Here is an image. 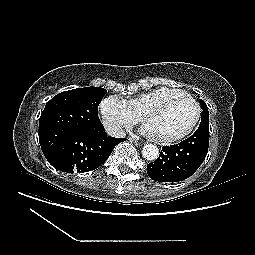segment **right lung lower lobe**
Wrapping results in <instances>:
<instances>
[{"mask_svg": "<svg viewBox=\"0 0 255 255\" xmlns=\"http://www.w3.org/2000/svg\"><path fill=\"white\" fill-rule=\"evenodd\" d=\"M124 140L107 136L104 129L97 133L78 130L65 136L44 155L57 170L88 172L103 164L114 147Z\"/></svg>", "mask_w": 255, "mask_h": 255, "instance_id": "right-lung-lower-lobe-1", "label": "right lung lower lobe"}]
</instances>
